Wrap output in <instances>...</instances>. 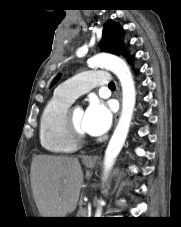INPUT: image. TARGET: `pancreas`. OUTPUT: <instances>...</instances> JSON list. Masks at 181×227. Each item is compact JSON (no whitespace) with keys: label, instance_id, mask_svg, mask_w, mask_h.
Listing matches in <instances>:
<instances>
[{"label":"pancreas","instance_id":"pancreas-1","mask_svg":"<svg viewBox=\"0 0 181 227\" xmlns=\"http://www.w3.org/2000/svg\"><path fill=\"white\" fill-rule=\"evenodd\" d=\"M86 213L85 208H80L79 211L77 212V217H85L84 214Z\"/></svg>","mask_w":181,"mask_h":227}]
</instances>
